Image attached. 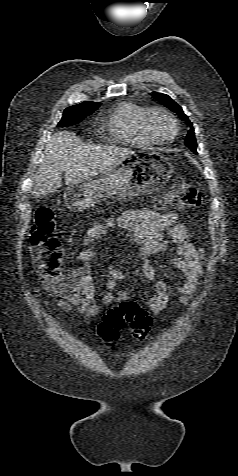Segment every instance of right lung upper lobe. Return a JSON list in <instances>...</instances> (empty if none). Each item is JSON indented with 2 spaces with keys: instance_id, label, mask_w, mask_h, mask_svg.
<instances>
[{
  "instance_id": "right-lung-upper-lobe-1",
  "label": "right lung upper lobe",
  "mask_w": 238,
  "mask_h": 476,
  "mask_svg": "<svg viewBox=\"0 0 238 476\" xmlns=\"http://www.w3.org/2000/svg\"><path fill=\"white\" fill-rule=\"evenodd\" d=\"M99 105H100V103L85 101V102H82V103L74 105V106H99Z\"/></svg>"
}]
</instances>
